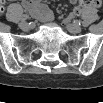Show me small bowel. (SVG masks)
I'll use <instances>...</instances> for the list:
<instances>
[{
	"instance_id": "c3829d8e",
	"label": "small bowel",
	"mask_w": 103,
	"mask_h": 103,
	"mask_svg": "<svg viewBox=\"0 0 103 103\" xmlns=\"http://www.w3.org/2000/svg\"><path fill=\"white\" fill-rule=\"evenodd\" d=\"M22 6L24 9H26L28 12H30L34 17L42 20V21H51L53 19V13L51 10L47 7L46 4H44L41 1L38 0H23ZM0 8L4 9V2H1Z\"/></svg>"
}]
</instances>
